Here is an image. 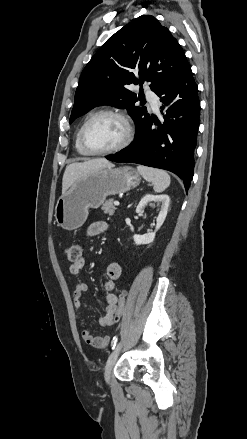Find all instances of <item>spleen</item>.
<instances>
[{"mask_svg":"<svg viewBox=\"0 0 247 439\" xmlns=\"http://www.w3.org/2000/svg\"><path fill=\"white\" fill-rule=\"evenodd\" d=\"M137 170L146 181L153 183L155 192H163L170 185V176L164 170L142 165H138Z\"/></svg>","mask_w":247,"mask_h":439,"instance_id":"3e777b00","label":"spleen"}]
</instances>
